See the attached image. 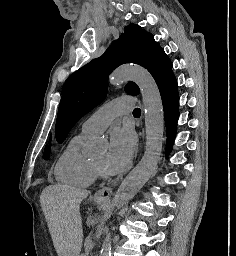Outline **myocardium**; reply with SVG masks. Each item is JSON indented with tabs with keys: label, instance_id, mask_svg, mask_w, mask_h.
<instances>
[{
	"label": "myocardium",
	"instance_id": "myocardium-1",
	"mask_svg": "<svg viewBox=\"0 0 236 256\" xmlns=\"http://www.w3.org/2000/svg\"><path fill=\"white\" fill-rule=\"evenodd\" d=\"M96 171L107 181H114L116 179L115 175L110 173L105 167L94 162Z\"/></svg>",
	"mask_w": 236,
	"mask_h": 256
}]
</instances>
